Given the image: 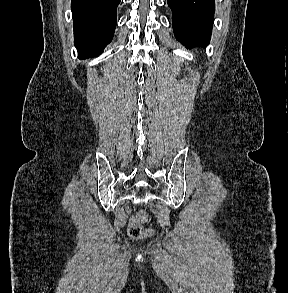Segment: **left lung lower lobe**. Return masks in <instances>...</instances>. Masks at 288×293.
Returning <instances> with one entry per match:
<instances>
[{"mask_svg": "<svg viewBox=\"0 0 288 293\" xmlns=\"http://www.w3.org/2000/svg\"><path fill=\"white\" fill-rule=\"evenodd\" d=\"M172 10L174 35L187 49L206 47L210 42L214 0H167Z\"/></svg>", "mask_w": 288, "mask_h": 293, "instance_id": "1", "label": "left lung lower lobe"}]
</instances>
